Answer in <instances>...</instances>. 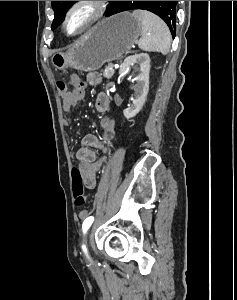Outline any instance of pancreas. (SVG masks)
<instances>
[{
	"mask_svg": "<svg viewBox=\"0 0 237 300\" xmlns=\"http://www.w3.org/2000/svg\"><path fill=\"white\" fill-rule=\"evenodd\" d=\"M112 66L114 67V65H112ZM113 67L111 69L109 67H105L104 77H106V79H111V77H113L114 71H115V69H113Z\"/></svg>",
	"mask_w": 237,
	"mask_h": 300,
	"instance_id": "cf45deb5",
	"label": "pancreas"
}]
</instances>
